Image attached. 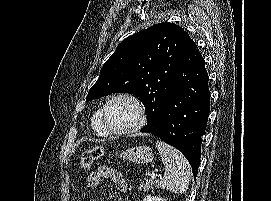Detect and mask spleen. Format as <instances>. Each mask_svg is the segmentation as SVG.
Wrapping results in <instances>:
<instances>
[{"instance_id": "obj_1", "label": "spleen", "mask_w": 271, "mask_h": 201, "mask_svg": "<svg viewBox=\"0 0 271 201\" xmlns=\"http://www.w3.org/2000/svg\"><path fill=\"white\" fill-rule=\"evenodd\" d=\"M156 147L160 153L165 169L160 187L173 193L184 194L189 187L191 167L184 155L173 146L157 141Z\"/></svg>"}]
</instances>
